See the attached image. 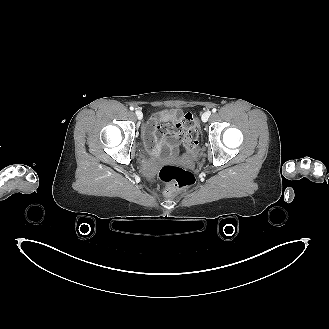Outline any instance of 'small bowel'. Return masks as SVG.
<instances>
[{"label":"small bowel","mask_w":329,"mask_h":329,"mask_svg":"<svg viewBox=\"0 0 329 329\" xmlns=\"http://www.w3.org/2000/svg\"><path fill=\"white\" fill-rule=\"evenodd\" d=\"M183 112L179 109L155 112L143 127L144 143L153 155L173 159L184 141Z\"/></svg>","instance_id":"c3829d8e"}]
</instances>
